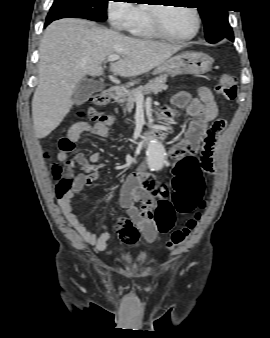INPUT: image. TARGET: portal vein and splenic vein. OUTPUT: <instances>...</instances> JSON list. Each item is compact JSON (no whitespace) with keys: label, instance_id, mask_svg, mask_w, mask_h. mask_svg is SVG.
I'll use <instances>...</instances> for the list:
<instances>
[{"label":"portal vein and splenic vein","instance_id":"obj_1","mask_svg":"<svg viewBox=\"0 0 270 338\" xmlns=\"http://www.w3.org/2000/svg\"><path fill=\"white\" fill-rule=\"evenodd\" d=\"M119 59H120L119 55H111V56L108 57L107 61L108 62H113V61H117ZM142 98H143L142 94L138 93L137 94V99H142Z\"/></svg>","mask_w":270,"mask_h":338}]
</instances>
